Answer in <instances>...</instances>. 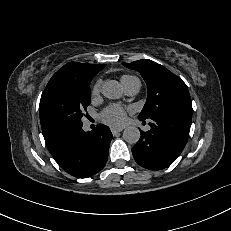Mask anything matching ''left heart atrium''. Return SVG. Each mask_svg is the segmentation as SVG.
I'll return each instance as SVG.
<instances>
[{"mask_svg": "<svg viewBox=\"0 0 231 231\" xmlns=\"http://www.w3.org/2000/svg\"><path fill=\"white\" fill-rule=\"evenodd\" d=\"M101 119L113 127H120L126 123L127 116L122 107L112 105L102 111Z\"/></svg>", "mask_w": 231, "mask_h": 231, "instance_id": "39dd6f15", "label": "left heart atrium"}]
</instances>
